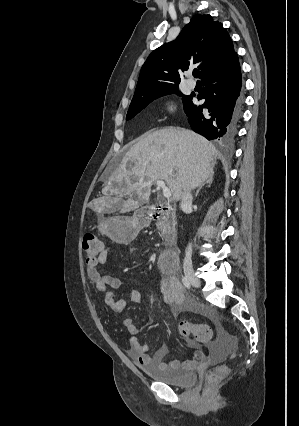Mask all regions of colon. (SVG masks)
<instances>
[{"instance_id": "1", "label": "colon", "mask_w": 299, "mask_h": 426, "mask_svg": "<svg viewBox=\"0 0 299 426\" xmlns=\"http://www.w3.org/2000/svg\"><path fill=\"white\" fill-rule=\"evenodd\" d=\"M102 249L103 243L97 236L92 233H86L84 235L82 250L87 266H93L97 264ZM178 329L179 333L183 337H192L193 340L199 343L209 342L212 337L211 328L205 324H193L188 321H182L180 322ZM227 372V367L221 365L213 368L207 374L206 384L203 390V395L205 397L211 396L215 387L223 380Z\"/></svg>"}]
</instances>
